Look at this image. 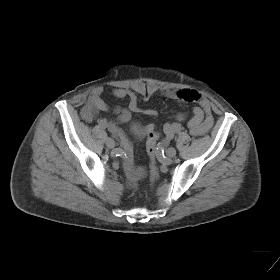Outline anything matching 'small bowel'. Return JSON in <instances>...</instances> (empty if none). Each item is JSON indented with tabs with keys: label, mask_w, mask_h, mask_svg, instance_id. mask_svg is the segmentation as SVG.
<instances>
[{
	"label": "small bowel",
	"mask_w": 280,
	"mask_h": 280,
	"mask_svg": "<svg viewBox=\"0 0 280 280\" xmlns=\"http://www.w3.org/2000/svg\"><path fill=\"white\" fill-rule=\"evenodd\" d=\"M103 89L101 87L95 88L81 110V115L84 120L90 122L93 121L100 112L110 111V106L102 98ZM113 95L117 98H128L129 103L127 108H115L114 111L117 114V120L119 122H125L129 119L131 112H140L146 116H155L156 111L154 109H141L138 105V99L135 92L118 88L113 91ZM166 96L171 99H177L182 101L194 102L197 104L192 109V117L188 121V128L192 135L202 136L209 132L214 124V118L211 111V106L209 101L203 97L200 93L190 89H182L175 91H168ZM170 123L164 125V134L163 144H167L172 138L170 132ZM110 131L122 137L124 139V134L119 128L117 122H111L109 125ZM154 126L152 124L146 126L143 130V133L153 131ZM123 169L126 173L128 180L131 183H135L141 177L145 175V170L142 168H137L134 165L131 155H128L123 162Z\"/></svg>",
	"instance_id": "c3829d8e"
}]
</instances>
